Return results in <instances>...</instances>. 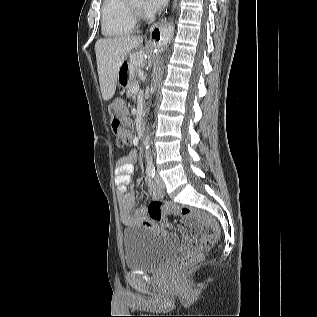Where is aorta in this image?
I'll return each mask as SVG.
<instances>
[{"label":"aorta","mask_w":317,"mask_h":317,"mask_svg":"<svg viewBox=\"0 0 317 317\" xmlns=\"http://www.w3.org/2000/svg\"><path fill=\"white\" fill-rule=\"evenodd\" d=\"M144 145H145V149H146L147 164L151 166L153 163H152V156H151V152H150V137H149V135H147L145 137Z\"/></svg>","instance_id":"1"}]
</instances>
